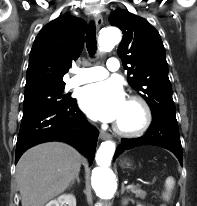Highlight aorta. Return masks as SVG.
<instances>
[{"label":"aorta","instance_id":"1","mask_svg":"<svg viewBox=\"0 0 197 206\" xmlns=\"http://www.w3.org/2000/svg\"><path fill=\"white\" fill-rule=\"evenodd\" d=\"M121 41V32L118 28L107 27L99 35L100 51L107 52L113 49ZM115 152V143L103 142L97 153V166L92 172V187L101 199H110L117 189L115 176L110 169L111 160Z\"/></svg>","mask_w":197,"mask_h":206}]
</instances>
